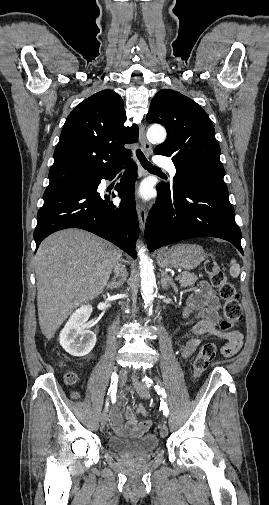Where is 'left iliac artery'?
<instances>
[{
  "instance_id": "1",
  "label": "left iliac artery",
  "mask_w": 269,
  "mask_h": 505,
  "mask_svg": "<svg viewBox=\"0 0 269 505\" xmlns=\"http://www.w3.org/2000/svg\"><path fill=\"white\" fill-rule=\"evenodd\" d=\"M155 391L157 392V394H159L161 396V404H160V408L161 410H163V415L165 417H167L169 415V409L167 407V404L165 402V399H166V392L163 388H161L160 386L156 385L155 387Z\"/></svg>"
}]
</instances>
